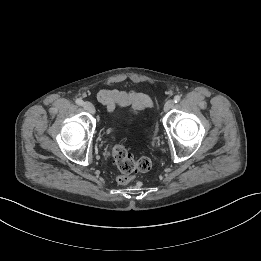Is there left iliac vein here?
<instances>
[{"instance_id":"1","label":"left iliac vein","mask_w":261,"mask_h":261,"mask_svg":"<svg viewBox=\"0 0 261 261\" xmlns=\"http://www.w3.org/2000/svg\"><path fill=\"white\" fill-rule=\"evenodd\" d=\"M173 107H174V101L172 99H169L168 101H166L164 105V111L167 112L171 110Z\"/></svg>"}]
</instances>
